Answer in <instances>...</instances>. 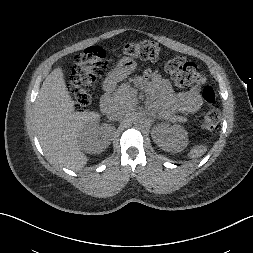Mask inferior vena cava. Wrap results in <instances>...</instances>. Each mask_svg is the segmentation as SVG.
Listing matches in <instances>:
<instances>
[{
  "label": "inferior vena cava",
  "instance_id": "602c4592",
  "mask_svg": "<svg viewBox=\"0 0 253 253\" xmlns=\"http://www.w3.org/2000/svg\"><path fill=\"white\" fill-rule=\"evenodd\" d=\"M127 104L112 103L107 110V117L109 120L115 121L122 119L127 113Z\"/></svg>",
  "mask_w": 253,
  "mask_h": 253
}]
</instances>
